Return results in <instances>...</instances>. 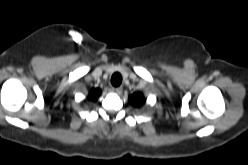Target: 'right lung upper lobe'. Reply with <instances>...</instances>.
<instances>
[{
    "instance_id": "1",
    "label": "right lung upper lobe",
    "mask_w": 248,
    "mask_h": 165,
    "mask_svg": "<svg viewBox=\"0 0 248 165\" xmlns=\"http://www.w3.org/2000/svg\"><path fill=\"white\" fill-rule=\"evenodd\" d=\"M100 94H101L100 89H92L89 93V98L91 100H95L100 96Z\"/></svg>"
}]
</instances>
